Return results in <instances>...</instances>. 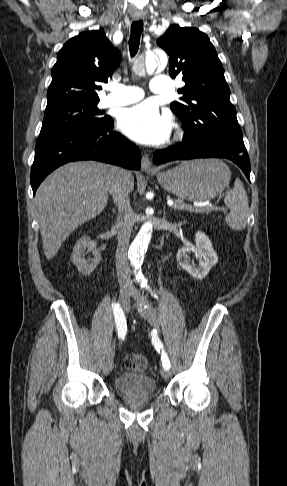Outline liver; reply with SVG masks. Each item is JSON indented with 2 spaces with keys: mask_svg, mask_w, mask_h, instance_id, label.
Instances as JSON below:
<instances>
[{
  "mask_svg": "<svg viewBox=\"0 0 287 486\" xmlns=\"http://www.w3.org/2000/svg\"><path fill=\"white\" fill-rule=\"evenodd\" d=\"M113 168L95 161L71 162L41 183L35 205L48 260L55 257L70 233L104 210ZM127 174L126 184L132 191L134 178L131 172Z\"/></svg>",
  "mask_w": 287,
  "mask_h": 486,
  "instance_id": "1",
  "label": "liver"
}]
</instances>
